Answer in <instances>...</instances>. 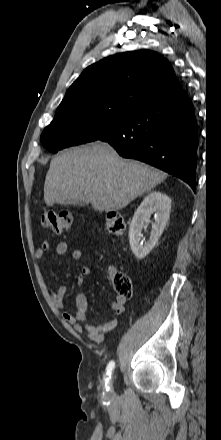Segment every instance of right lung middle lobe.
Masks as SVG:
<instances>
[{
    "instance_id": "obj_1",
    "label": "right lung middle lobe",
    "mask_w": 221,
    "mask_h": 440,
    "mask_svg": "<svg viewBox=\"0 0 221 440\" xmlns=\"http://www.w3.org/2000/svg\"><path fill=\"white\" fill-rule=\"evenodd\" d=\"M134 110L109 101L66 104L58 107L55 118L41 135V143L48 151L56 153L66 147L98 140Z\"/></svg>"
}]
</instances>
